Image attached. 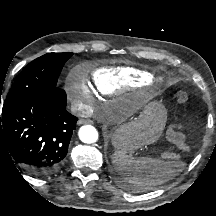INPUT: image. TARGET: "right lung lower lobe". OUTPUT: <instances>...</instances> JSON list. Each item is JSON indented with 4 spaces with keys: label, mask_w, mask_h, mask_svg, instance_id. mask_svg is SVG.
Returning <instances> with one entry per match:
<instances>
[{
    "label": "right lung lower lobe",
    "mask_w": 216,
    "mask_h": 216,
    "mask_svg": "<svg viewBox=\"0 0 216 216\" xmlns=\"http://www.w3.org/2000/svg\"><path fill=\"white\" fill-rule=\"evenodd\" d=\"M66 104L65 92L57 87L3 110L0 156L36 177L57 173L78 120L67 112Z\"/></svg>",
    "instance_id": "obj_1"
}]
</instances>
